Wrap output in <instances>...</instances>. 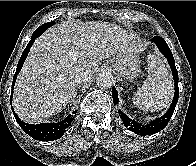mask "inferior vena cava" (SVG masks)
Here are the masks:
<instances>
[{"label": "inferior vena cava", "mask_w": 196, "mask_h": 166, "mask_svg": "<svg viewBox=\"0 0 196 166\" xmlns=\"http://www.w3.org/2000/svg\"><path fill=\"white\" fill-rule=\"evenodd\" d=\"M74 78H75L76 83L80 84L88 80V73L83 72L81 70H77L74 74Z\"/></svg>", "instance_id": "obj_1"}]
</instances>
